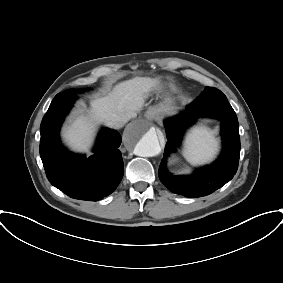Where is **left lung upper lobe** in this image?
Returning <instances> with one entry per match:
<instances>
[{
    "instance_id": "5c2ea615",
    "label": "left lung upper lobe",
    "mask_w": 283,
    "mask_h": 283,
    "mask_svg": "<svg viewBox=\"0 0 283 283\" xmlns=\"http://www.w3.org/2000/svg\"><path fill=\"white\" fill-rule=\"evenodd\" d=\"M208 97L213 100H225L226 96L218 89L213 87H206L205 91H203Z\"/></svg>"
}]
</instances>
